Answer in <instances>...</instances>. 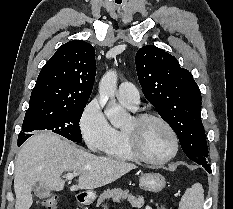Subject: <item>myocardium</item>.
<instances>
[{"label": "myocardium", "mask_w": 233, "mask_h": 209, "mask_svg": "<svg viewBox=\"0 0 233 209\" xmlns=\"http://www.w3.org/2000/svg\"><path fill=\"white\" fill-rule=\"evenodd\" d=\"M148 120H155L161 123L167 129V131L169 132L172 138V142H173L172 151L165 158L162 159L149 158L142 152L140 148L139 129L142 126V124ZM132 122H133L132 127L130 129H125L124 133H125L127 147L135 159L147 164L164 165L175 158L179 150V139L172 125L165 118L152 112H140L133 117Z\"/></svg>", "instance_id": "myocardium-1"}]
</instances>
